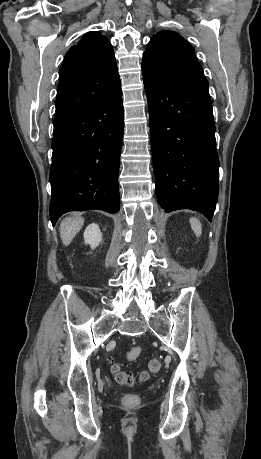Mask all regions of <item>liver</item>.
I'll return each instance as SVG.
<instances>
[{"instance_id":"6515ba94","label":"liver","mask_w":261,"mask_h":459,"mask_svg":"<svg viewBox=\"0 0 261 459\" xmlns=\"http://www.w3.org/2000/svg\"><path fill=\"white\" fill-rule=\"evenodd\" d=\"M84 218H66L60 225V237L65 246H68L76 234L81 230Z\"/></svg>"}]
</instances>
